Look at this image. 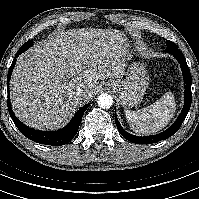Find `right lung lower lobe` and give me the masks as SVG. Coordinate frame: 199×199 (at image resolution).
Wrapping results in <instances>:
<instances>
[{
	"label": "right lung lower lobe",
	"mask_w": 199,
	"mask_h": 199,
	"mask_svg": "<svg viewBox=\"0 0 199 199\" xmlns=\"http://www.w3.org/2000/svg\"><path fill=\"white\" fill-rule=\"evenodd\" d=\"M31 41H27L16 53L15 58L11 64V67L8 72V77H7V90H8V110L9 114L16 125V127L19 129V131L26 136L28 139L41 143V144H46V145H51V146H61L73 139V137L76 135L78 128L80 126L82 117L84 112L86 111L87 107L89 104L84 105L82 108L78 110V112L74 115L72 120L69 122V124L64 127L63 129H60L58 131H39L35 130L32 128L27 127L24 125L22 122L18 120V118L15 116L14 112L12 111L11 108V102L9 99V81L10 77L13 71V68L16 64V58L22 54L24 51H26L29 47H31Z\"/></svg>",
	"instance_id": "right-lung-lower-lobe-1"
}]
</instances>
